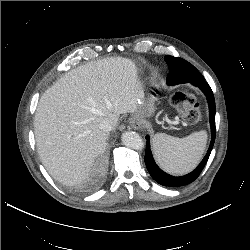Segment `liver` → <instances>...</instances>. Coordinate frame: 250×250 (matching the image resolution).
<instances>
[{
  "label": "liver",
  "mask_w": 250,
  "mask_h": 250,
  "mask_svg": "<svg viewBox=\"0 0 250 250\" xmlns=\"http://www.w3.org/2000/svg\"><path fill=\"white\" fill-rule=\"evenodd\" d=\"M137 67L130 59L109 57L63 75L41 96L34 133L41 162L66 185L84 180L106 148L102 121L117 125L120 114L135 113L143 98Z\"/></svg>",
  "instance_id": "liver-1"
}]
</instances>
